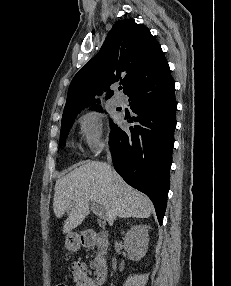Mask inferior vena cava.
<instances>
[{"instance_id": "1", "label": "inferior vena cava", "mask_w": 231, "mask_h": 286, "mask_svg": "<svg viewBox=\"0 0 231 286\" xmlns=\"http://www.w3.org/2000/svg\"><path fill=\"white\" fill-rule=\"evenodd\" d=\"M106 151H107V161H108V163L110 164V163H111V161H112V158H111V153H110V151H109V148H108V147H107Z\"/></svg>"}]
</instances>
